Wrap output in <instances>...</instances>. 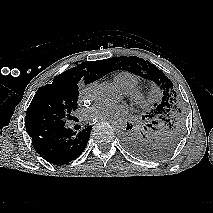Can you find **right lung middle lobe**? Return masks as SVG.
<instances>
[{
  "instance_id": "obj_1",
  "label": "right lung middle lobe",
  "mask_w": 213,
  "mask_h": 213,
  "mask_svg": "<svg viewBox=\"0 0 213 213\" xmlns=\"http://www.w3.org/2000/svg\"><path fill=\"white\" fill-rule=\"evenodd\" d=\"M79 81L80 78H71L64 82H53L37 91L25 118L26 131L30 137L65 125L77 108Z\"/></svg>"
}]
</instances>
